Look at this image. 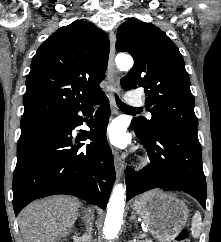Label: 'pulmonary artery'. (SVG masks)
<instances>
[{"label": "pulmonary artery", "instance_id": "pulmonary-artery-1", "mask_svg": "<svg viewBox=\"0 0 221 242\" xmlns=\"http://www.w3.org/2000/svg\"><path fill=\"white\" fill-rule=\"evenodd\" d=\"M127 98L129 99V103L132 105L139 106L142 103L141 100L132 98V93H129Z\"/></svg>", "mask_w": 221, "mask_h": 242}]
</instances>
